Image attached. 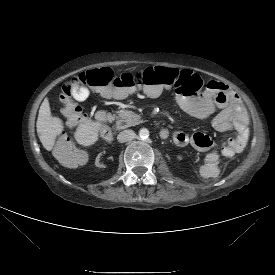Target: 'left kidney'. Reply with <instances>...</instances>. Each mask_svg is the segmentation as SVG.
Segmentation results:
<instances>
[{
    "mask_svg": "<svg viewBox=\"0 0 275 275\" xmlns=\"http://www.w3.org/2000/svg\"><path fill=\"white\" fill-rule=\"evenodd\" d=\"M177 158H178V160H182V156L181 155H178Z\"/></svg>",
    "mask_w": 275,
    "mask_h": 275,
    "instance_id": "5707ae66",
    "label": "left kidney"
}]
</instances>
